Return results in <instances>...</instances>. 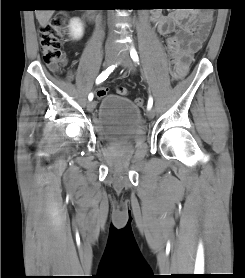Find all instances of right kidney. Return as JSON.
Segmentation results:
<instances>
[{
  "instance_id": "obj_1",
  "label": "right kidney",
  "mask_w": 245,
  "mask_h": 278,
  "mask_svg": "<svg viewBox=\"0 0 245 278\" xmlns=\"http://www.w3.org/2000/svg\"><path fill=\"white\" fill-rule=\"evenodd\" d=\"M70 35L73 39H80L83 36L84 28L79 18H73L69 24Z\"/></svg>"
}]
</instances>
